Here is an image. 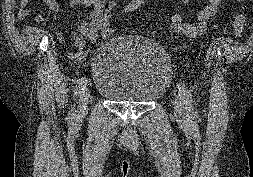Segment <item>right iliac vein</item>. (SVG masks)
<instances>
[{"label": "right iliac vein", "mask_w": 253, "mask_h": 177, "mask_svg": "<svg viewBox=\"0 0 253 177\" xmlns=\"http://www.w3.org/2000/svg\"><path fill=\"white\" fill-rule=\"evenodd\" d=\"M91 96V92L88 88H86L79 99V113L80 115H84L88 108L89 99Z\"/></svg>", "instance_id": "right-iliac-vein-1"}]
</instances>
